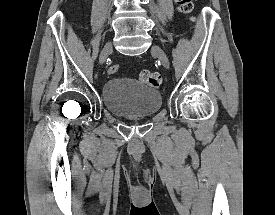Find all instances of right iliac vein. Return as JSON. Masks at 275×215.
Masks as SVG:
<instances>
[{
    "mask_svg": "<svg viewBox=\"0 0 275 215\" xmlns=\"http://www.w3.org/2000/svg\"><path fill=\"white\" fill-rule=\"evenodd\" d=\"M111 51H112V44H111V42H108V43L104 46V48H103V50H102V52H101V55H100V63H101V64H103V63L105 62L106 58H107L108 55L111 53Z\"/></svg>",
    "mask_w": 275,
    "mask_h": 215,
    "instance_id": "1",
    "label": "right iliac vein"
}]
</instances>
